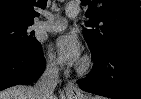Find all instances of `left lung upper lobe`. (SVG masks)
<instances>
[{
  "instance_id": "left-lung-upper-lobe-1",
  "label": "left lung upper lobe",
  "mask_w": 141,
  "mask_h": 99,
  "mask_svg": "<svg viewBox=\"0 0 141 99\" xmlns=\"http://www.w3.org/2000/svg\"><path fill=\"white\" fill-rule=\"evenodd\" d=\"M89 5L83 30L92 55L119 45L141 46L140 0H81Z\"/></svg>"
}]
</instances>
